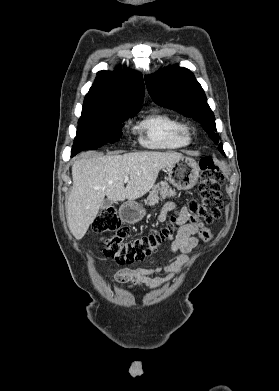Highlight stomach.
Segmentation results:
<instances>
[{"mask_svg":"<svg viewBox=\"0 0 279 391\" xmlns=\"http://www.w3.org/2000/svg\"><path fill=\"white\" fill-rule=\"evenodd\" d=\"M167 169L170 182L179 190L193 188L199 179L200 168L197 162L189 157L181 158ZM119 213L122 220L134 224L145 216L146 211L142 205L128 201L121 205Z\"/></svg>","mask_w":279,"mask_h":391,"instance_id":"1","label":"stomach"}]
</instances>
